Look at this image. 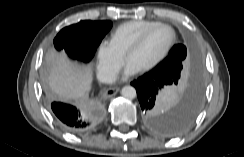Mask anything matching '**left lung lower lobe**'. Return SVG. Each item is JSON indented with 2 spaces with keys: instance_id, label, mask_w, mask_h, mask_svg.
Segmentation results:
<instances>
[{
  "instance_id": "0a47b994",
  "label": "left lung lower lobe",
  "mask_w": 244,
  "mask_h": 157,
  "mask_svg": "<svg viewBox=\"0 0 244 157\" xmlns=\"http://www.w3.org/2000/svg\"><path fill=\"white\" fill-rule=\"evenodd\" d=\"M131 84L136 88L146 126L158 135L172 137L184 133L200 111L204 82L199 71L173 105L164 103V94L175 83L162 73L151 70Z\"/></svg>"
}]
</instances>
